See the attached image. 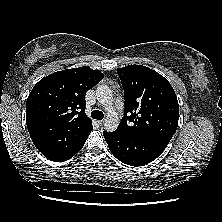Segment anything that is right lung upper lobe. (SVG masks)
<instances>
[{
  "mask_svg": "<svg viewBox=\"0 0 222 222\" xmlns=\"http://www.w3.org/2000/svg\"><path fill=\"white\" fill-rule=\"evenodd\" d=\"M103 78L85 66L55 72L34 86L26 103V123L41 153L68 149L87 139L93 126L85 114V94Z\"/></svg>",
  "mask_w": 222,
  "mask_h": 222,
  "instance_id": "right-lung-upper-lobe-1",
  "label": "right lung upper lobe"
}]
</instances>
